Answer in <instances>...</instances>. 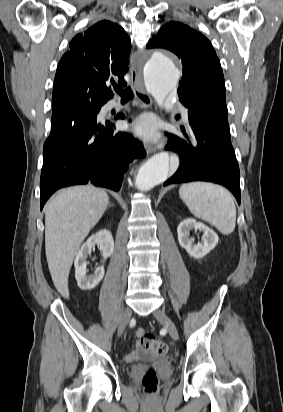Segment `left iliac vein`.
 Instances as JSON below:
<instances>
[{
  "label": "left iliac vein",
  "mask_w": 283,
  "mask_h": 412,
  "mask_svg": "<svg viewBox=\"0 0 283 412\" xmlns=\"http://www.w3.org/2000/svg\"><path fill=\"white\" fill-rule=\"evenodd\" d=\"M153 315L160 323L164 324V326L168 330L169 335L174 340L179 339L178 330H177L176 326L174 325V323L171 321V319L167 316L165 311H163L161 309H157V310L154 311Z\"/></svg>",
  "instance_id": "1"
}]
</instances>
